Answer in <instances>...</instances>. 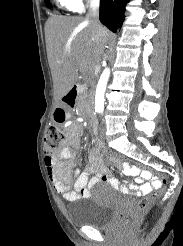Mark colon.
<instances>
[{
  "label": "colon",
  "instance_id": "obj_1",
  "mask_svg": "<svg viewBox=\"0 0 183 246\" xmlns=\"http://www.w3.org/2000/svg\"><path fill=\"white\" fill-rule=\"evenodd\" d=\"M66 117V112L63 109L58 108L55 113V119L57 122H63ZM64 140V134L55 125H50L46 128L44 136V149L47 155L54 156L61 148ZM106 154H111L112 157H116L117 160H124V162H131V157L128 155H119L115 149H106ZM131 167H141L144 170H150L152 174H158L159 180L157 181V186L152 191V193L142 198L136 207L121 216L120 228H129L133 226L142 213L149 207L151 202L162 194L163 186L165 182H170V177L166 174H161V170H153L152 167H146L144 162H131Z\"/></svg>",
  "mask_w": 183,
  "mask_h": 246
}]
</instances>
